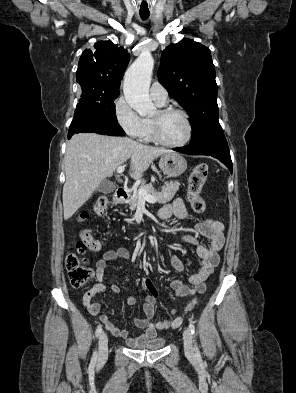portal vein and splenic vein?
Masks as SVG:
<instances>
[{"label": "portal vein and splenic vein", "instance_id": "obj_1", "mask_svg": "<svg viewBox=\"0 0 296 393\" xmlns=\"http://www.w3.org/2000/svg\"><path fill=\"white\" fill-rule=\"evenodd\" d=\"M123 171H124V166L123 165H121V166H119L117 168V173L118 174L123 173ZM138 195H139L140 199H143V200H146V201H149V202H154L156 200L152 195L147 193V191L145 189H143V188H140L138 190Z\"/></svg>", "mask_w": 296, "mask_h": 393}]
</instances>
